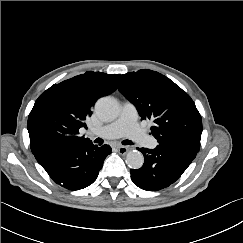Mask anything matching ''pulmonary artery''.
I'll return each mask as SVG.
<instances>
[{
    "label": "pulmonary artery",
    "mask_w": 243,
    "mask_h": 243,
    "mask_svg": "<svg viewBox=\"0 0 243 243\" xmlns=\"http://www.w3.org/2000/svg\"><path fill=\"white\" fill-rule=\"evenodd\" d=\"M138 114L135 106L126 102L123 107L119 118L111 124L103 127L92 129L91 135L99 136L102 138H119L122 136L129 137L137 143L149 148L157 146V140L154 137L148 136L139 126Z\"/></svg>",
    "instance_id": "1"
}]
</instances>
